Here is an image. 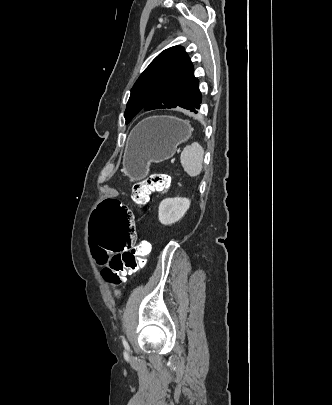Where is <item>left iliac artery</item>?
Instances as JSON below:
<instances>
[{"label": "left iliac artery", "mask_w": 332, "mask_h": 405, "mask_svg": "<svg viewBox=\"0 0 332 405\" xmlns=\"http://www.w3.org/2000/svg\"><path fill=\"white\" fill-rule=\"evenodd\" d=\"M122 342H123V345H124L125 347H127V342H126V340L124 339V337L122 338Z\"/></svg>", "instance_id": "obj_1"}]
</instances>
